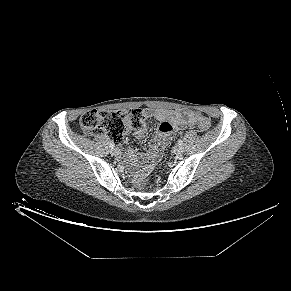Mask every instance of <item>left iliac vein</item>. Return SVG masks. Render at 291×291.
Returning <instances> with one entry per match:
<instances>
[{
	"mask_svg": "<svg viewBox=\"0 0 291 291\" xmlns=\"http://www.w3.org/2000/svg\"><path fill=\"white\" fill-rule=\"evenodd\" d=\"M173 152L175 155H182L184 152V149L181 146H175L173 149Z\"/></svg>",
	"mask_w": 291,
	"mask_h": 291,
	"instance_id": "1",
	"label": "left iliac vein"
}]
</instances>
